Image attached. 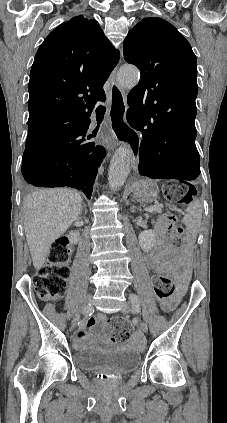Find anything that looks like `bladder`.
<instances>
[{
	"mask_svg": "<svg viewBox=\"0 0 227 423\" xmlns=\"http://www.w3.org/2000/svg\"><path fill=\"white\" fill-rule=\"evenodd\" d=\"M142 356L135 349H123L115 352L82 350L75 352L74 364L84 373L102 375L103 369H110L108 375H124L136 370Z\"/></svg>",
	"mask_w": 227,
	"mask_h": 423,
	"instance_id": "1",
	"label": "bladder"
}]
</instances>
